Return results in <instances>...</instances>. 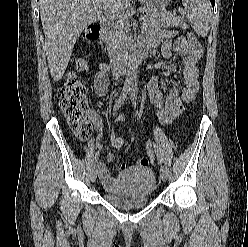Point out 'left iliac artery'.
Segmentation results:
<instances>
[{
	"label": "left iliac artery",
	"instance_id": "obj_1",
	"mask_svg": "<svg viewBox=\"0 0 248 247\" xmlns=\"http://www.w3.org/2000/svg\"><path fill=\"white\" fill-rule=\"evenodd\" d=\"M130 90H131V99H132V101H133L134 106L136 107V100H135V92H134V89L132 88V89H130ZM154 149H155V153H156V156H157V159H158L159 163L162 164V158H161V156H160V154H159V151H158V149H157V147H156V144H154Z\"/></svg>",
	"mask_w": 248,
	"mask_h": 247
}]
</instances>
